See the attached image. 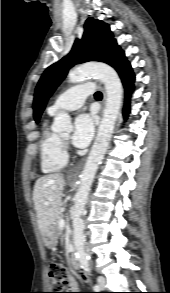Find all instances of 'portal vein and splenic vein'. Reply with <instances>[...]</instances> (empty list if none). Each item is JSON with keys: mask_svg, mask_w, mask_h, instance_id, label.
<instances>
[{"mask_svg": "<svg viewBox=\"0 0 170 293\" xmlns=\"http://www.w3.org/2000/svg\"><path fill=\"white\" fill-rule=\"evenodd\" d=\"M58 224H59L60 228H63L65 226V221L63 219H61V220H59Z\"/></svg>", "mask_w": 170, "mask_h": 293, "instance_id": "portal-vein-and-splenic-vein-1", "label": "portal vein and splenic vein"}]
</instances>
